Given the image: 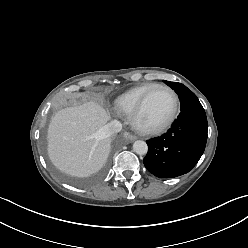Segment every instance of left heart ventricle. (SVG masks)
I'll use <instances>...</instances> for the list:
<instances>
[{
  "mask_svg": "<svg viewBox=\"0 0 248 248\" xmlns=\"http://www.w3.org/2000/svg\"><path fill=\"white\" fill-rule=\"evenodd\" d=\"M173 108V98L165 89H155L146 100L139 116V123L144 127H154L164 122Z\"/></svg>",
  "mask_w": 248,
  "mask_h": 248,
  "instance_id": "1",
  "label": "left heart ventricle"
}]
</instances>
